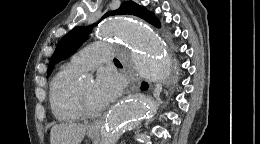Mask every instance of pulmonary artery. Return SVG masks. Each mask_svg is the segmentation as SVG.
<instances>
[{
  "instance_id": "e3ab8cb5",
  "label": "pulmonary artery",
  "mask_w": 260,
  "mask_h": 144,
  "mask_svg": "<svg viewBox=\"0 0 260 144\" xmlns=\"http://www.w3.org/2000/svg\"><path fill=\"white\" fill-rule=\"evenodd\" d=\"M112 46L106 43H96L77 52L71 59L72 64L83 72L96 67L101 63L113 60Z\"/></svg>"
}]
</instances>
